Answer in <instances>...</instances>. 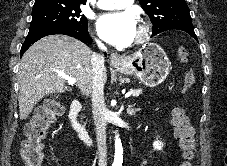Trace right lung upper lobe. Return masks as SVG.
<instances>
[{"label": "right lung upper lobe", "instance_id": "1", "mask_svg": "<svg viewBox=\"0 0 227 166\" xmlns=\"http://www.w3.org/2000/svg\"><path fill=\"white\" fill-rule=\"evenodd\" d=\"M86 0H35L34 5L42 3H68V4H85Z\"/></svg>", "mask_w": 227, "mask_h": 166}]
</instances>
